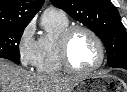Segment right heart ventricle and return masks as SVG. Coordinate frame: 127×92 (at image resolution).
Listing matches in <instances>:
<instances>
[{"mask_svg":"<svg viewBox=\"0 0 127 92\" xmlns=\"http://www.w3.org/2000/svg\"><path fill=\"white\" fill-rule=\"evenodd\" d=\"M44 33L37 40L36 71L40 74L57 75L65 71L59 56V41L62 33L70 26L66 15L48 10L42 18Z\"/></svg>","mask_w":127,"mask_h":92,"instance_id":"e07e8e85","label":"right heart ventricle"}]
</instances>
